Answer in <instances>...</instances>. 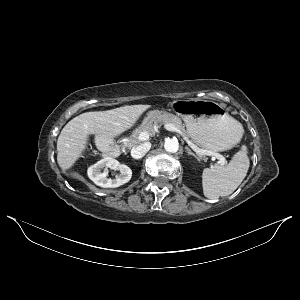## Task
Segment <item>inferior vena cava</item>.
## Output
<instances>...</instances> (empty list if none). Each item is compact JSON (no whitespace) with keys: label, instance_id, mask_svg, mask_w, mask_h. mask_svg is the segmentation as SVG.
Here are the masks:
<instances>
[{"label":"inferior vena cava","instance_id":"obj_1","mask_svg":"<svg viewBox=\"0 0 300 300\" xmlns=\"http://www.w3.org/2000/svg\"><path fill=\"white\" fill-rule=\"evenodd\" d=\"M151 148L150 143H144L138 146H135L131 149V156L134 159L142 158Z\"/></svg>","mask_w":300,"mask_h":300}]
</instances>
